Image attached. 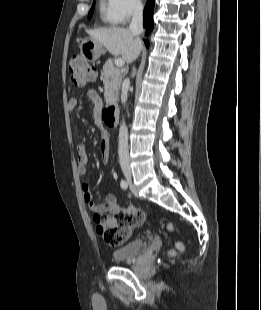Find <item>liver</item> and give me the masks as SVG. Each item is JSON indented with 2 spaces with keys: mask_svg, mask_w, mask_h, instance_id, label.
Masks as SVG:
<instances>
[{
  "mask_svg": "<svg viewBox=\"0 0 261 310\" xmlns=\"http://www.w3.org/2000/svg\"><path fill=\"white\" fill-rule=\"evenodd\" d=\"M91 38L114 56L121 55L126 63L134 61L142 50V42L127 28L113 27L89 30Z\"/></svg>",
  "mask_w": 261,
  "mask_h": 310,
  "instance_id": "1",
  "label": "liver"
}]
</instances>
